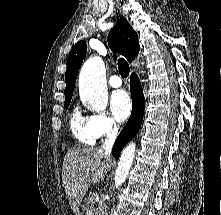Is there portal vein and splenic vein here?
Listing matches in <instances>:
<instances>
[{"label": "portal vein and splenic vein", "instance_id": "portal-vein-and-splenic-vein-1", "mask_svg": "<svg viewBox=\"0 0 221 215\" xmlns=\"http://www.w3.org/2000/svg\"><path fill=\"white\" fill-rule=\"evenodd\" d=\"M95 211V208L93 207H90L88 210H87V215H93V212Z\"/></svg>", "mask_w": 221, "mask_h": 215}]
</instances>
